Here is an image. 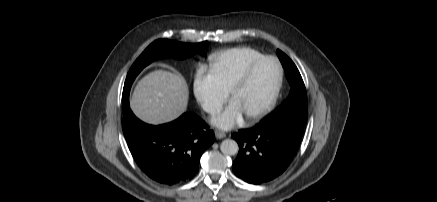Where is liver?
<instances>
[{
    "instance_id": "6515ba94",
    "label": "liver",
    "mask_w": 437,
    "mask_h": 202,
    "mask_svg": "<svg viewBox=\"0 0 437 202\" xmlns=\"http://www.w3.org/2000/svg\"><path fill=\"white\" fill-rule=\"evenodd\" d=\"M188 98V85L183 76L155 70L138 82L130 107L140 120L158 125L179 117L187 108Z\"/></svg>"
}]
</instances>
